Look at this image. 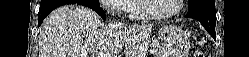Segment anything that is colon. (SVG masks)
<instances>
[{"instance_id": "obj_1", "label": "colon", "mask_w": 249, "mask_h": 57, "mask_svg": "<svg viewBox=\"0 0 249 57\" xmlns=\"http://www.w3.org/2000/svg\"><path fill=\"white\" fill-rule=\"evenodd\" d=\"M203 53L202 52H199V51H196L193 55V57H203Z\"/></svg>"}]
</instances>
